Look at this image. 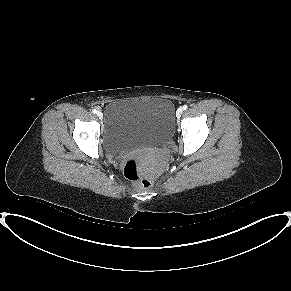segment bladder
<instances>
[{
	"instance_id": "1",
	"label": "bladder",
	"mask_w": 291,
	"mask_h": 291,
	"mask_svg": "<svg viewBox=\"0 0 291 291\" xmlns=\"http://www.w3.org/2000/svg\"><path fill=\"white\" fill-rule=\"evenodd\" d=\"M105 149L114 154L164 144L174 134V106L161 97L118 100L103 114Z\"/></svg>"
}]
</instances>
